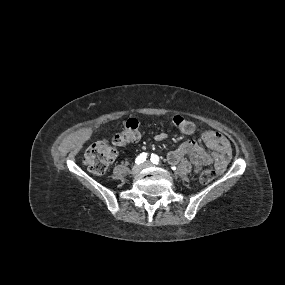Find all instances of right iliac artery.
<instances>
[{"instance_id":"1","label":"right iliac artery","mask_w":285,"mask_h":285,"mask_svg":"<svg viewBox=\"0 0 285 285\" xmlns=\"http://www.w3.org/2000/svg\"><path fill=\"white\" fill-rule=\"evenodd\" d=\"M146 158H147V153H141L139 156H137V158L135 159V163L136 164H141L143 163L144 161H146Z\"/></svg>"}]
</instances>
